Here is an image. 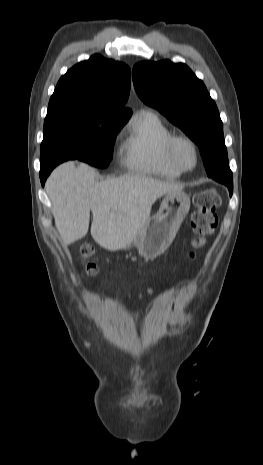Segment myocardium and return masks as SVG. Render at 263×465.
<instances>
[{
  "instance_id": "1",
  "label": "myocardium",
  "mask_w": 263,
  "mask_h": 465,
  "mask_svg": "<svg viewBox=\"0 0 263 465\" xmlns=\"http://www.w3.org/2000/svg\"><path fill=\"white\" fill-rule=\"evenodd\" d=\"M181 142L187 143L193 150L194 163L190 167L183 165L177 157L176 147ZM165 152L168 161L181 172L192 171L196 168L199 161V150L196 142L184 134H172L166 142Z\"/></svg>"
}]
</instances>
